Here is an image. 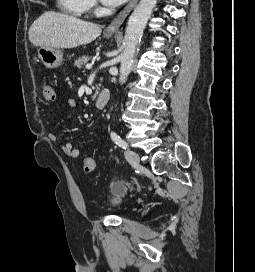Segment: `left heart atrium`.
Listing matches in <instances>:
<instances>
[{"mask_svg":"<svg viewBox=\"0 0 255 272\" xmlns=\"http://www.w3.org/2000/svg\"><path fill=\"white\" fill-rule=\"evenodd\" d=\"M102 3L106 6L109 7H116L121 5L123 2H125L126 0H101Z\"/></svg>","mask_w":255,"mask_h":272,"instance_id":"obj_1","label":"left heart atrium"}]
</instances>
